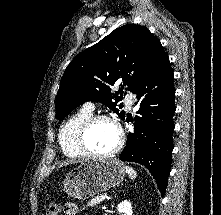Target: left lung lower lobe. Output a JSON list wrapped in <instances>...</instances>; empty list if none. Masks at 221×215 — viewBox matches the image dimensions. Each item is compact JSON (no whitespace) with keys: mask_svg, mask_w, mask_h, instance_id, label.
<instances>
[{"mask_svg":"<svg viewBox=\"0 0 221 215\" xmlns=\"http://www.w3.org/2000/svg\"><path fill=\"white\" fill-rule=\"evenodd\" d=\"M174 74L168 56L137 86L140 108L134 133H129L120 154L122 161L144 165L153 175L162 195L166 191L173 150L172 133L175 112Z\"/></svg>","mask_w":221,"mask_h":215,"instance_id":"left-lung-lower-lobe-1","label":"left lung lower lobe"}]
</instances>
